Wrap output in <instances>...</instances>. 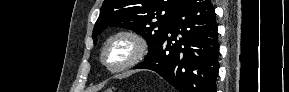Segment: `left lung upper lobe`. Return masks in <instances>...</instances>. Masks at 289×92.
Returning a JSON list of instances; mask_svg holds the SVG:
<instances>
[{"mask_svg":"<svg viewBox=\"0 0 289 92\" xmlns=\"http://www.w3.org/2000/svg\"><path fill=\"white\" fill-rule=\"evenodd\" d=\"M183 0H104L92 38L108 26L136 31L148 42L151 56L158 49L167 25Z\"/></svg>","mask_w":289,"mask_h":92,"instance_id":"1","label":"left lung upper lobe"}]
</instances>
